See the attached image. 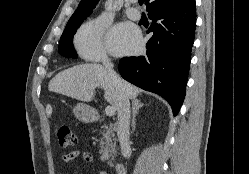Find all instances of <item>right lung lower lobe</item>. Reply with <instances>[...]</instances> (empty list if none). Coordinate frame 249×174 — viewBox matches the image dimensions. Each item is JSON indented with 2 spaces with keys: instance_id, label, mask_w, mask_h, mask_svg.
<instances>
[{
  "instance_id": "98d812e1",
  "label": "right lung lower lobe",
  "mask_w": 249,
  "mask_h": 174,
  "mask_svg": "<svg viewBox=\"0 0 249 174\" xmlns=\"http://www.w3.org/2000/svg\"><path fill=\"white\" fill-rule=\"evenodd\" d=\"M152 20L144 56L124 57L118 69L136 86L168 101L176 116L185 97L196 26L195 0H181L148 13Z\"/></svg>"
}]
</instances>
